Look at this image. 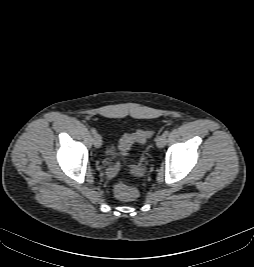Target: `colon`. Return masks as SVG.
<instances>
[{
  "instance_id": "1",
  "label": "colon",
  "mask_w": 254,
  "mask_h": 267,
  "mask_svg": "<svg viewBox=\"0 0 254 267\" xmlns=\"http://www.w3.org/2000/svg\"><path fill=\"white\" fill-rule=\"evenodd\" d=\"M150 136L151 132L148 130H138L134 133L124 135L119 145L120 153L123 156L127 155L133 144L145 142ZM114 193L117 198L124 201H132L138 197L137 189L124 182H118L115 185Z\"/></svg>"
}]
</instances>
